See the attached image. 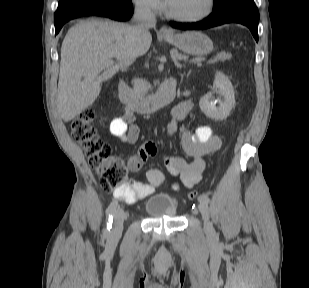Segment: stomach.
I'll list each match as a JSON object with an SVG mask.
<instances>
[{"label":"stomach","instance_id":"0dacf381","mask_svg":"<svg viewBox=\"0 0 309 288\" xmlns=\"http://www.w3.org/2000/svg\"><path fill=\"white\" fill-rule=\"evenodd\" d=\"M163 38L181 51L192 55H206L213 49L210 38L199 31L164 35Z\"/></svg>","mask_w":309,"mask_h":288}]
</instances>
